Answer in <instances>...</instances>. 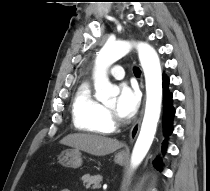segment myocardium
Returning <instances> with one entry per match:
<instances>
[{
  "label": "myocardium",
  "mask_w": 210,
  "mask_h": 191,
  "mask_svg": "<svg viewBox=\"0 0 210 191\" xmlns=\"http://www.w3.org/2000/svg\"><path fill=\"white\" fill-rule=\"evenodd\" d=\"M109 114H110V122L112 126H117L120 123L119 118L115 115L113 108L108 107Z\"/></svg>",
  "instance_id": "1"
}]
</instances>
